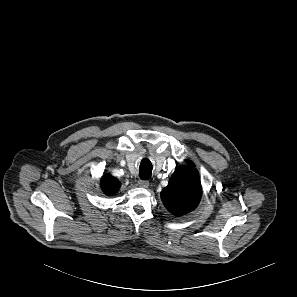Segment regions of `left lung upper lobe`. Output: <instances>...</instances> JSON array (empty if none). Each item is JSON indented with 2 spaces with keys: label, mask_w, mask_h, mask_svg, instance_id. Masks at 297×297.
Returning a JSON list of instances; mask_svg holds the SVG:
<instances>
[{
  "label": "left lung upper lobe",
  "mask_w": 297,
  "mask_h": 297,
  "mask_svg": "<svg viewBox=\"0 0 297 297\" xmlns=\"http://www.w3.org/2000/svg\"><path fill=\"white\" fill-rule=\"evenodd\" d=\"M188 165L179 166L167 187L161 191L164 206L175 216L185 215L194 210L201 199L202 188L197 169L186 160Z\"/></svg>",
  "instance_id": "5c2ea615"
}]
</instances>
